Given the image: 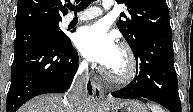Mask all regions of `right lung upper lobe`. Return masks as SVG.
I'll return each instance as SVG.
<instances>
[{"mask_svg":"<svg viewBox=\"0 0 193 112\" xmlns=\"http://www.w3.org/2000/svg\"><path fill=\"white\" fill-rule=\"evenodd\" d=\"M67 0H18L16 30L59 24L68 13ZM69 2V0H68Z\"/></svg>","mask_w":193,"mask_h":112,"instance_id":"1","label":"right lung upper lobe"}]
</instances>
